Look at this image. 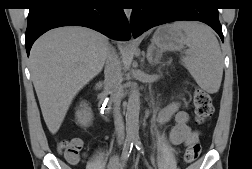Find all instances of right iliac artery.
Segmentation results:
<instances>
[{
    "mask_svg": "<svg viewBox=\"0 0 252 169\" xmlns=\"http://www.w3.org/2000/svg\"><path fill=\"white\" fill-rule=\"evenodd\" d=\"M133 144H134V141L133 140H126L125 141V144H124V147H123V151H122V159L124 161H126L131 153V150L133 148Z\"/></svg>",
    "mask_w": 252,
    "mask_h": 169,
    "instance_id": "right-iliac-artery-1",
    "label": "right iliac artery"
}]
</instances>
